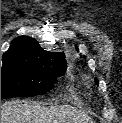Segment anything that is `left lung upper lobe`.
<instances>
[{
  "mask_svg": "<svg viewBox=\"0 0 122 123\" xmlns=\"http://www.w3.org/2000/svg\"><path fill=\"white\" fill-rule=\"evenodd\" d=\"M95 82L98 84V80H95Z\"/></svg>",
  "mask_w": 122,
  "mask_h": 123,
  "instance_id": "obj_1",
  "label": "left lung upper lobe"
}]
</instances>
